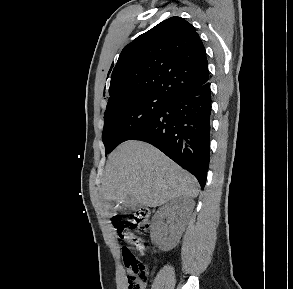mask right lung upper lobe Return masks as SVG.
I'll list each match as a JSON object with an SVG mask.
<instances>
[{"label": "right lung upper lobe", "instance_id": "1", "mask_svg": "<svg viewBox=\"0 0 293 289\" xmlns=\"http://www.w3.org/2000/svg\"><path fill=\"white\" fill-rule=\"evenodd\" d=\"M208 80L206 52L198 33L174 16L124 47L112 72L107 106L143 94L172 99Z\"/></svg>", "mask_w": 293, "mask_h": 289}]
</instances>
